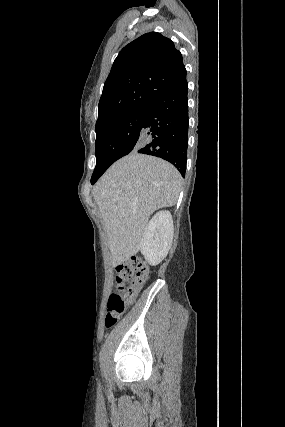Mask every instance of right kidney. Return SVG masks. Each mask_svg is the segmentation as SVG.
Masks as SVG:
<instances>
[{"label":"right kidney","instance_id":"1","mask_svg":"<svg viewBox=\"0 0 285 427\" xmlns=\"http://www.w3.org/2000/svg\"><path fill=\"white\" fill-rule=\"evenodd\" d=\"M173 234V219L169 211H160L149 221L143 233L140 251L150 265H157L166 257Z\"/></svg>","mask_w":285,"mask_h":427}]
</instances>
